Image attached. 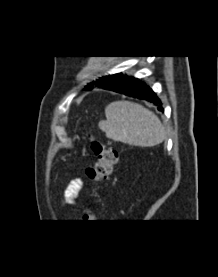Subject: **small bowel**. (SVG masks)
Instances as JSON below:
<instances>
[{"label":"small bowel","instance_id":"obj_1","mask_svg":"<svg viewBox=\"0 0 218 277\" xmlns=\"http://www.w3.org/2000/svg\"><path fill=\"white\" fill-rule=\"evenodd\" d=\"M82 187L83 181L81 178L71 180L65 189L63 203L66 205H75Z\"/></svg>","mask_w":218,"mask_h":277}]
</instances>
